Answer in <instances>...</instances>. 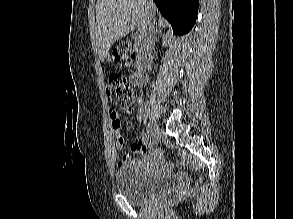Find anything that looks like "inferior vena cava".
Instances as JSON below:
<instances>
[{"mask_svg":"<svg viewBox=\"0 0 293 219\" xmlns=\"http://www.w3.org/2000/svg\"><path fill=\"white\" fill-rule=\"evenodd\" d=\"M148 28L145 32V37L141 40L143 44V60L145 61L146 65L149 66V52L151 50V45L153 40L151 38V30L154 28L155 22L152 17H149L147 20Z\"/></svg>","mask_w":293,"mask_h":219,"instance_id":"inferior-vena-cava-1","label":"inferior vena cava"}]
</instances>
